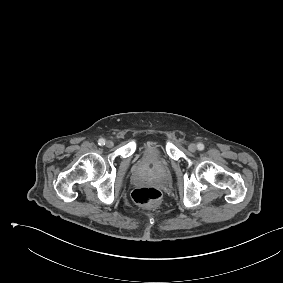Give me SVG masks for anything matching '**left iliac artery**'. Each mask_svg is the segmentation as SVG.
I'll return each instance as SVG.
<instances>
[{
    "mask_svg": "<svg viewBox=\"0 0 283 283\" xmlns=\"http://www.w3.org/2000/svg\"><path fill=\"white\" fill-rule=\"evenodd\" d=\"M197 149L202 151L204 149V145L202 143L197 144Z\"/></svg>",
    "mask_w": 283,
    "mask_h": 283,
    "instance_id": "1",
    "label": "left iliac artery"
}]
</instances>
